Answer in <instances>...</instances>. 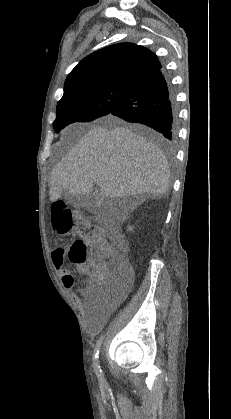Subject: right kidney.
<instances>
[{"label":"right kidney","instance_id":"obj_1","mask_svg":"<svg viewBox=\"0 0 231 419\" xmlns=\"http://www.w3.org/2000/svg\"><path fill=\"white\" fill-rule=\"evenodd\" d=\"M128 230L132 231L133 230V227L128 226Z\"/></svg>","mask_w":231,"mask_h":419}]
</instances>
